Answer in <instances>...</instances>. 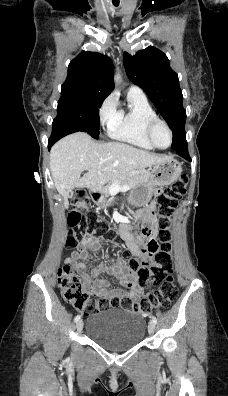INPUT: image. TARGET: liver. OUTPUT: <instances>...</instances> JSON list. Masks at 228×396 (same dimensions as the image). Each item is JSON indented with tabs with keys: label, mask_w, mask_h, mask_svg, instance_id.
I'll return each instance as SVG.
<instances>
[{
	"label": "liver",
	"mask_w": 228,
	"mask_h": 396,
	"mask_svg": "<svg viewBox=\"0 0 228 396\" xmlns=\"http://www.w3.org/2000/svg\"><path fill=\"white\" fill-rule=\"evenodd\" d=\"M121 142L98 143L88 134L77 132L58 141L50 151V170L55 188L68 207L74 188L101 192L103 186L127 174L143 171L169 160ZM88 172L81 177V173Z\"/></svg>",
	"instance_id": "obj_1"
}]
</instances>
